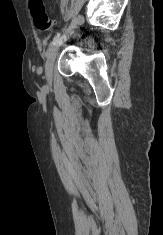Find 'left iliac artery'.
I'll use <instances>...</instances> for the list:
<instances>
[{
	"label": "left iliac artery",
	"mask_w": 163,
	"mask_h": 235,
	"mask_svg": "<svg viewBox=\"0 0 163 235\" xmlns=\"http://www.w3.org/2000/svg\"><path fill=\"white\" fill-rule=\"evenodd\" d=\"M78 21H79L78 18H74V19L72 20L71 24L68 26V28L65 27V28L63 29V32L75 28L76 25H77V23H78ZM65 38H66L65 35H62L61 37L58 35V36L49 44V47H48L47 53H46L47 56H49V53H50V51L52 50V48H53L55 45H57V44H61L62 41H63Z\"/></svg>",
	"instance_id": "1"
}]
</instances>
